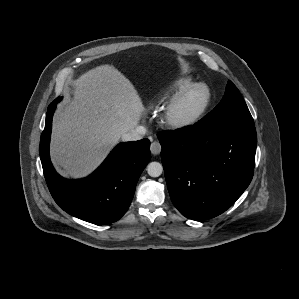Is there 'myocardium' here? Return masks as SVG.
Segmentation results:
<instances>
[{"label":"myocardium","mask_w":299,"mask_h":299,"mask_svg":"<svg viewBox=\"0 0 299 299\" xmlns=\"http://www.w3.org/2000/svg\"><path fill=\"white\" fill-rule=\"evenodd\" d=\"M196 90H203L205 98L201 106L192 114L182 116L179 109L189 94ZM212 100V92L206 83H193L177 94L165 107L161 122L164 126L173 130H182L197 124L206 114Z\"/></svg>","instance_id":"f54148a6"}]
</instances>
